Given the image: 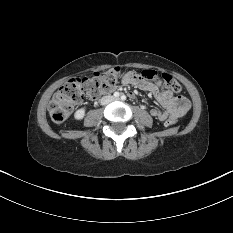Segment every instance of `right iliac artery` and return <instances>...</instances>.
Listing matches in <instances>:
<instances>
[{"label":"right iliac artery","instance_id":"obj_1","mask_svg":"<svg viewBox=\"0 0 233 233\" xmlns=\"http://www.w3.org/2000/svg\"><path fill=\"white\" fill-rule=\"evenodd\" d=\"M119 96H120V93H119V92H115V93H114V97H115V98H118Z\"/></svg>","mask_w":233,"mask_h":233}]
</instances>
